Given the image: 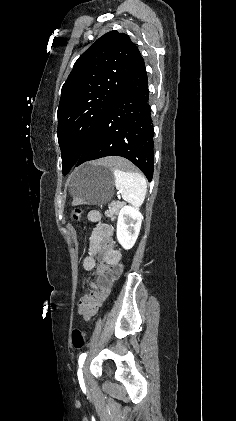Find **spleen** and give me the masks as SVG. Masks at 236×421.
<instances>
[{"label": "spleen", "instance_id": "3e777b00", "mask_svg": "<svg viewBox=\"0 0 236 421\" xmlns=\"http://www.w3.org/2000/svg\"><path fill=\"white\" fill-rule=\"evenodd\" d=\"M108 166L114 170L115 186L121 192L122 198L133 204L135 208L141 206L147 190L145 176L140 174V172H124L114 162L113 164H108Z\"/></svg>", "mask_w": 236, "mask_h": 421}]
</instances>
